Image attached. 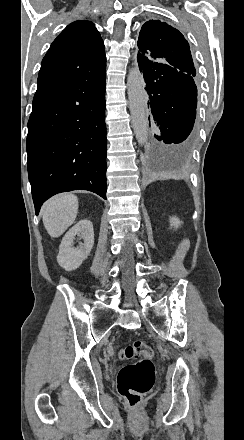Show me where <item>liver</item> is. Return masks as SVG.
I'll return each mask as SVG.
<instances>
[{
    "label": "liver",
    "mask_w": 244,
    "mask_h": 440,
    "mask_svg": "<svg viewBox=\"0 0 244 440\" xmlns=\"http://www.w3.org/2000/svg\"><path fill=\"white\" fill-rule=\"evenodd\" d=\"M78 214V198L74 194H59L46 202L42 220L51 238H59L72 226Z\"/></svg>",
    "instance_id": "1"
}]
</instances>
